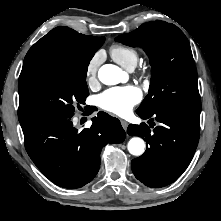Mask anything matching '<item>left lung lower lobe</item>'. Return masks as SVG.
Masks as SVG:
<instances>
[{"instance_id":"0a47b994","label":"left lung lower lobe","mask_w":221,"mask_h":221,"mask_svg":"<svg viewBox=\"0 0 221 221\" xmlns=\"http://www.w3.org/2000/svg\"><path fill=\"white\" fill-rule=\"evenodd\" d=\"M136 113L161 124L153 130L145 123L129 125L128 134L140 136L148 144L145 153L132 160V171L146 186H166L182 175L193 158L199 140L200 112L158 105Z\"/></svg>"}]
</instances>
